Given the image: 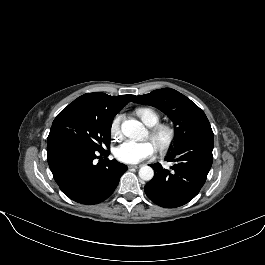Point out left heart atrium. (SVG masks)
<instances>
[{"mask_svg": "<svg viewBox=\"0 0 265 265\" xmlns=\"http://www.w3.org/2000/svg\"><path fill=\"white\" fill-rule=\"evenodd\" d=\"M155 153V146L151 142H138L130 139L124 140L114 151L115 157L119 161L129 164L153 158Z\"/></svg>", "mask_w": 265, "mask_h": 265, "instance_id": "39dd6f15", "label": "left heart atrium"}]
</instances>
